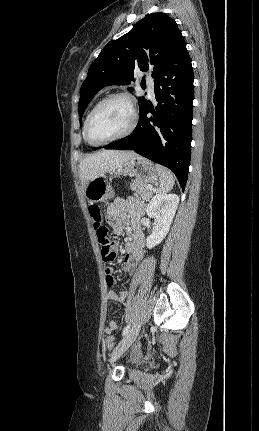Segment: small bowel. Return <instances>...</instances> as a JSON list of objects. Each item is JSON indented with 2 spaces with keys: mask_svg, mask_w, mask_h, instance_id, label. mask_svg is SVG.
Listing matches in <instances>:
<instances>
[{
  "mask_svg": "<svg viewBox=\"0 0 259 431\" xmlns=\"http://www.w3.org/2000/svg\"><path fill=\"white\" fill-rule=\"evenodd\" d=\"M142 211V204L133 198H117L107 208L108 221L115 234H120L125 224L130 226L131 236L130 240L125 244V256L123 257V270L128 274L135 272L138 263L143 258L145 239L139 221ZM104 271L107 285L113 288L116 285L113 269L106 267ZM107 299L123 303L127 299V293L125 291L110 290L107 293ZM118 327V322L112 320L105 326V331L106 333H111L117 330Z\"/></svg>",
  "mask_w": 259,
  "mask_h": 431,
  "instance_id": "small-bowel-1",
  "label": "small bowel"
}]
</instances>
